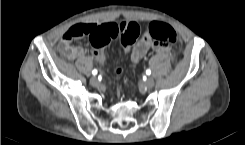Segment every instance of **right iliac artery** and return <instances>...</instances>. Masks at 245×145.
Wrapping results in <instances>:
<instances>
[{"label": "right iliac artery", "instance_id": "obj_1", "mask_svg": "<svg viewBox=\"0 0 245 145\" xmlns=\"http://www.w3.org/2000/svg\"><path fill=\"white\" fill-rule=\"evenodd\" d=\"M92 74H93V75H96V74H97V70L94 69V70L92 71Z\"/></svg>", "mask_w": 245, "mask_h": 145}]
</instances>
